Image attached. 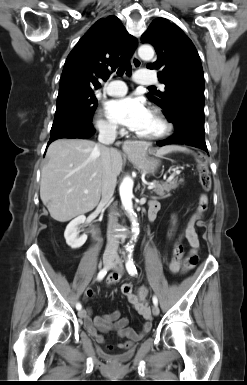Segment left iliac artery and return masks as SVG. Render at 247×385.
<instances>
[{
    "mask_svg": "<svg viewBox=\"0 0 247 385\" xmlns=\"http://www.w3.org/2000/svg\"><path fill=\"white\" fill-rule=\"evenodd\" d=\"M126 269L131 276H135L137 274V270L134 261L131 257V253L128 255V259L126 261ZM152 301L154 305L158 304V299L156 296H153Z\"/></svg>",
    "mask_w": 247,
    "mask_h": 385,
    "instance_id": "44dca946",
    "label": "left iliac artery"
}]
</instances>
